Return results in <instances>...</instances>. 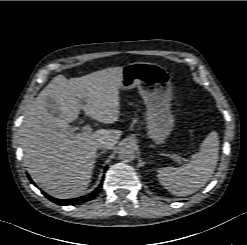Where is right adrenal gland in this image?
I'll return each instance as SVG.
<instances>
[{"mask_svg": "<svg viewBox=\"0 0 247 245\" xmlns=\"http://www.w3.org/2000/svg\"><path fill=\"white\" fill-rule=\"evenodd\" d=\"M103 152L99 153L97 157H99V155H101Z\"/></svg>", "mask_w": 247, "mask_h": 245, "instance_id": "obj_1", "label": "right adrenal gland"}]
</instances>
